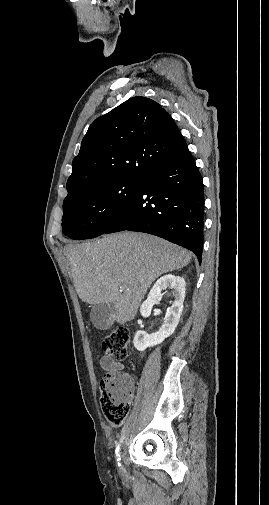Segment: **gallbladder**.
<instances>
[{
    "instance_id": "obj_1",
    "label": "gallbladder",
    "mask_w": 269,
    "mask_h": 505,
    "mask_svg": "<svg viewBox=\"0 0 269 505\" xmlns=\"http://www.w3.org/2000/svg\"><path fill=\"white\" fill-rule=\"evenodd\" d=\"M116 309L113 304L99 303L92 307L90 319L94 327L99 330L109 329L114 322Z\"/></svg>"
}]
</instances>
